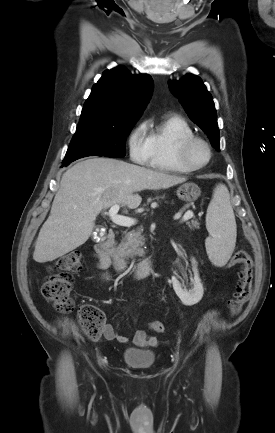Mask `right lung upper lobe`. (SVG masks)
Returning <instances> with one entry per match:
<instances>
[{"label": "right lung upper lobe", "instance_id": "cb5924a9", "mask_svg": "<svg viewBox=\"0 0 275 433\" xmlns=\"http://www.w3.org/2000/svg\"><path fill=\"white\" fill-rule=\"evenodd\" d=\"M150 75H132L125 67L106 70L86 100L80 122L120 123L137 120L152 93Z\"/></svg>", "mask_w": 275, "mask_h": 433}]
</instances>
